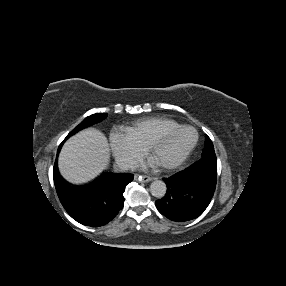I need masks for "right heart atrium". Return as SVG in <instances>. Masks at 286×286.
<instances>
[{"label": "right heart atrium", "instance_id": "1", "mask_svg": "<svg viewBox=\"0 0 286 286\" xmlns=\"http://www.w3.org/2000/svg\"><path fill=\"white\" fill-rule=\"evenodd\" d=\"M109 143L116 160L126 167L133 166L145 150L126 130L111 131Z\"/></svg>", "mask_w": 286, "mask_h": 286}]
</instances>
